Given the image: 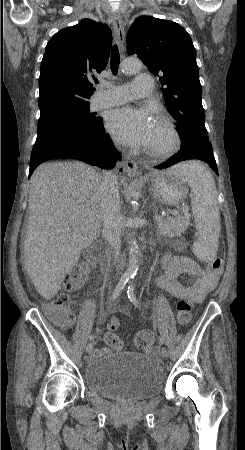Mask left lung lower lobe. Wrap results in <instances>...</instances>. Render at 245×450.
<instances>
[{
    "label": "left lung lower lobe",
    "instance_id": "left-lung-lower-lobe-1",
    "mask_svg": "<svg viewBox=\"0 0 245 450\" xmlns=\"http://www.w3.org/2000/svg\"><path fill=\"white\" fill-rule=\"evenodd\" d=\"M187 159H200L205 162H207L210 167L215 171V173L218 175V169L216 165L215 158L213 156V150L210 146L204 147L202 149L193 150V151H183L174 154L171 158H169L167 161L155 166V168L158 169H164L172 166L173 164L187 160Z\"/></svg>",
    "mask_w": 245,
    "mask_h": 450
}]
</instances>
